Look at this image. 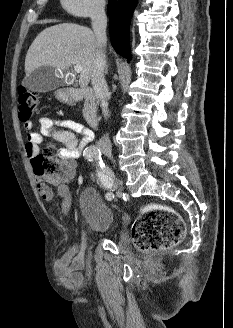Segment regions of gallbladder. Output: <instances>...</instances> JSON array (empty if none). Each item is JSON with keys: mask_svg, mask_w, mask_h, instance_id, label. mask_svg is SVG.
Segmentation results:
<instances>
[{"mask_svg": "<svg viewBox=\"0 0 233 328\" xmlns=\"http://www.w3.org/2000/svg\"><path fill=\"white\" fill-rule=\"evenodd\" d=\"M63 83L56 75V69L51 66H41L27 75L22 84L33 92L45 93L55 90Z\"/></svg>", "mask_w": 233, "mask_h": 328, "instance_id": "gallbladder-1", "label": "gallbladder"}]
</instances>
